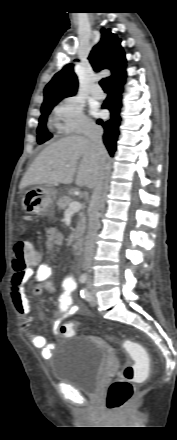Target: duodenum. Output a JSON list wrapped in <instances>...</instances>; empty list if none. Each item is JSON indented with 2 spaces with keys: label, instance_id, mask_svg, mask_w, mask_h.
Here are the masks:
<instances>
[{
  "label": "duodenum",
  "instance_id": "obj_1",
  "mask_svg": "<svg viewBox=\"0 0 177 440\" xmlns=\"http://www.w3.org/2000/svg\"><path fill=\"white\" fill-rule=\"evenodd\" d=\"M84 244L81 238H78L73 244V251L75 254L80 255L83 253Z\"/></svg>",
  "mask_w": 177,
  "mask_h": 440
}]
</instances>
